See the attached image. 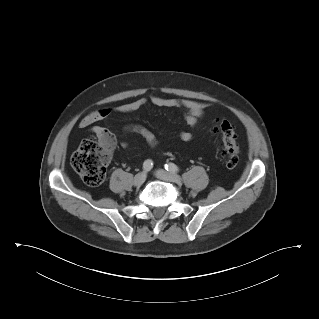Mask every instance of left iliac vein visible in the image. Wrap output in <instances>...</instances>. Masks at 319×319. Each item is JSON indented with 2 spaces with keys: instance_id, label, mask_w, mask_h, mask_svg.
Instances as JSON below:
<instances>
[{
  "instance_id": "1",
  "label": "left iliac vein",
  "mask_w": 319,
  "mask_h": 319,
  "mask_svg": "<svg viewBox=\"0 0 319 319\" xmlns=\"http://www.w3.org/2000/svg\"><path fill=\"white\" fill-rule=\"evenodd\" d=\"M156 177L169 182H174L177 184H180L182 182V179L179 175H177L174 172H167L165 170L159 169L156 171Z\"/></svg>"
}]
</instances>
